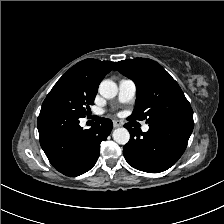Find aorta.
<instances>
[{"label":"aorta","mask_w":224,"mask_h":224,"mask_svg":"<svg viewBox=\"0 0 224 224\" xmlns=\"http://www.w3.org/2000/svg\"><path fill=\"white\" fill-rule=\"evenodd\" d=\"M99 93L101 96L107 99L114 98L118 93L117 84L112 80H103L99 85ZM113 139L116 143L120 145H125L129 142L130 133L129 131L122 127L117 128L113 131Z\"/></svg>","instance_id":"aorta-1"}]
</instances>
